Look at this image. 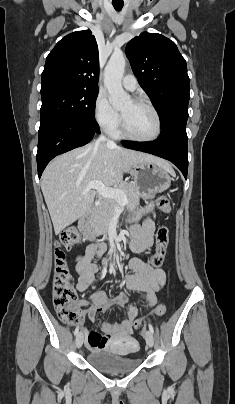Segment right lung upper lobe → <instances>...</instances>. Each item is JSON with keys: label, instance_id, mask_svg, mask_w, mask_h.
I'll use <instances>...</instances> for the list:
<instances>
[{"label": "right lung upper lobe", "instance_id": "right-lung-upper-lobe-1", "mask_svg": "<svg viewBox=\"0 0 235 404\" xmlns=\"http://www.w3.org/2000/svg\"><path fill=\"white\" fill-rule=\"evenodd\" d=\"M98 46L90 30L76 31L61 39L46 58L42 83H63L98 90Z\"/></svg>", "mask_w": 235, "mask_h": 404}]
</instances>
